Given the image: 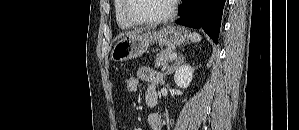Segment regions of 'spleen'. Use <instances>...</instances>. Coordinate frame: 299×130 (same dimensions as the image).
Wrapping results in <instances>:
<instances>
[{"mask_svg":"<svg viewBox=\"0 0 299 130\" xmlns=\"http://www.w3.org/2000/svg\"><path fill=\"white\" fill-rule=\"evenodd\" d=\"M189 38H190V41L193 43H197V42L201 41V36L196 32L191 33L189 35Z\"/></svg>","mask_w":299,"mask_h":130,"instance_id":"obj_1","label":"spleen"}]
</instances>
